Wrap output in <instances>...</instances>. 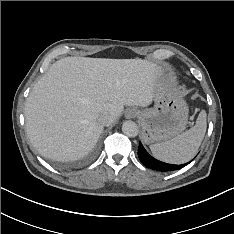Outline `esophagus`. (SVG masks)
Instances as JSON below:
<instances>
[{
	"instance_id": "esophagus-1",
	"label": "esophagus",
	"mask_w": 234,
	"mask_h": 234,
	"mask_svg": "<svg viewBox=\"0 0 234 234\" xmlns=\"http://www.w3.org/2000/svg\"><path fill=\"white\" fill-rule=\"evenodd\" d=\"M139 114V111L135 108H129L125 111V117L128 119H133Z\"/></svg>"
}]
</instances>
